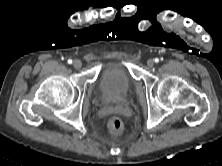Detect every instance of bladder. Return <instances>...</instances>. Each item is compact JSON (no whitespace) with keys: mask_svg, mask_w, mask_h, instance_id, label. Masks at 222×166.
<instances>
[{"mask_svg":"<svg viewBox=\"0 0 222 166\" xmlns=\"http://www.w3.org/2000/svg\"><path fill=\"white\" fill-rule=\"evenodd\" d=\"M98 97L104 103L118 104L130 95L132 80L122 66L103 69L96 80Z\"/></svg>","mask_w":222,"mask_h":166,"instance_id":"obj_1","label":"bladder"}]
</instances>
